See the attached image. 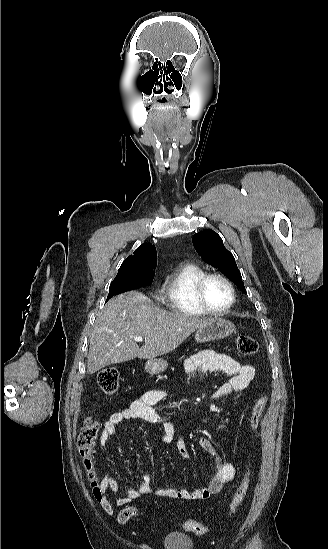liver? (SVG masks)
<instances>
[{"mask_svg": "<svg viewBox=\"0 0 328 549\" xmlns=\"http://www.w3.org/2000/svg\"><path fill=\"white\" fill-rule=\"evenodd\" d=\"M208 321L160 309L139 291L117 295L96 315L90 333L87 373L93 375L107 365L135 357L155 359L171 353ZM133 337H143V347Z\"/></svg>", "mask_w": 328, "mask_h": 549, "instance_id": "6515ba94", "label": "liver"}]
</instances>
